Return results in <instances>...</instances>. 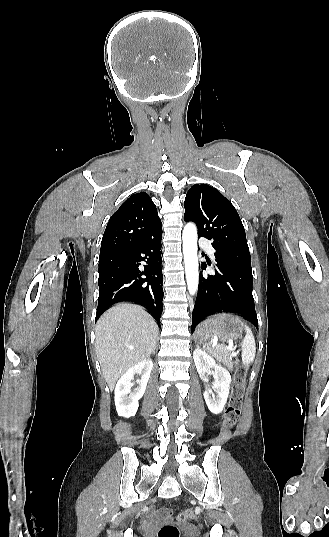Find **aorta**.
<instances>
[{
    "mask_svg": "<svg viewBox=\"0 0 329 537\" xmlns=\"http://www.w3.org/2000/svg\"><path fill=\"white\" fill-rule=\"evenodd\" d=\"M183 254L185 275L190 295H196L199 285V267L197 256V228L193 223L185 225L183 233Z\"/></svg>",
    "mask_w": 329,
    "mask_h": 537,
    "instance_id": "aorta-1",
    "label": "aorta"
}]
</instances>
